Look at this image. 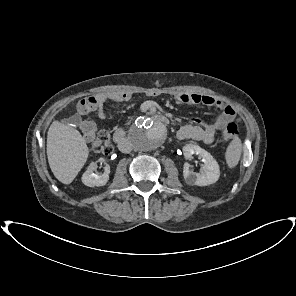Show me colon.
I'll return each mask as SVG.
<instances>
[{
	"label": "colon",
	"mask_w": 296,
	"mask_h": 296,
	"mask_svg": "<svg viewBox=\"0 0 296 296\" xmlns=\"http://www.w3.org/2000/svg\"><path fill=\"white\" fill-rule=\"evenodd\" d=\"M239 129L236 123H229L224 131L221 133L223 140H231L237 137ZM94 152L101 155H109L112 152V144L110 141V134L107 130H101L92 144Z\"/></svg>",
	"instance_id": "5ec220e1"
}]
</instances>
